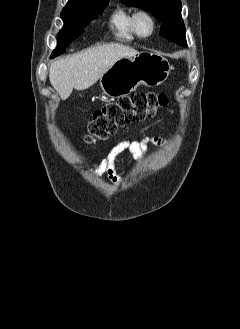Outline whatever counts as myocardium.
<instances>
[{"mask_svg":"<svg viewBox=\"0 0 240 329\" xmlns=\"http://www.w3.org/2000/svg\"><path fill=\"white\" fill-rule=\"evenodd\" d=\"M141 20H147L149 22L150 28L146 33L142 32L140 29ZM133 30L135 34L140 38H148L152 36L156 30V20L153 14L145 9H141L135 12L133 17Z\"/></svg>","mask_w":240,"mask_h":329,"instance_id":"obj_1","label":"myocardium"}]
</instances>
